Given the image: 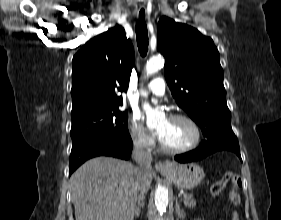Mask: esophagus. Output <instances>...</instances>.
I'll return each instance as SVG.
<instances>
[{
  "label": "esophagus",
  "instance_id": "esophagus-1",
  "mask_svg": "<svg viewBox=\"0 0 281 220\" xmlns=\"http://www.w3.org/2000/svg\"><path fill=\"white\" fill-rule=\"evenodd\" d=\"M137 17L140 21H144L147 17V11H146V8L145 7H140L138 10H137ZM173 168V164L172 162L170 161H160V162H157L155 164V169L158 171V172H161V173H166V172H169L171 171Z\"/></svg>",
  "mask_w": 281,
  "mask_h": 220
}]
</instances>
